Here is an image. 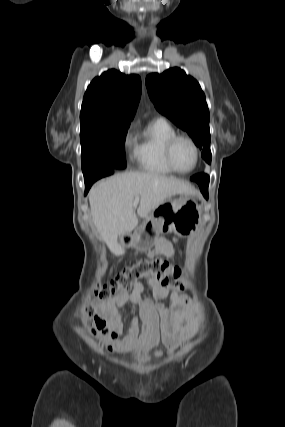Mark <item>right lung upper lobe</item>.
<instances>
[{
    "label": "right lung upper lobe",
    "instance_id": "obj_1",
    "mask_svg": "<svg viewBox=\"0 0 285 427\" xmlns=\"http://www.w3.org/2000/svg\"><path fill=\"white\" fill-rule=\"evenodd\" d=\"M141 96L138 75L108 70L90 83L85 92L80 122H130Z\"/></svg>",
    "mask_w": 285,
    "mask_h": 427
}]
</instances>
